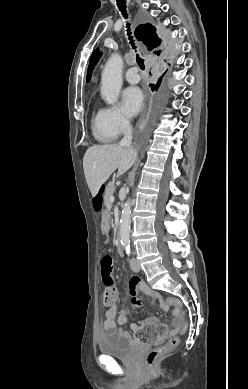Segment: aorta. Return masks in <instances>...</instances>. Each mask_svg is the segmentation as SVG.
<instances>
[{"label":"aorta","instance_id":"aorta-1","mask_svg":"<svg viewBox=\"0 0 248 389\" xmlns=\"http://www.w3.org/2000/svg\"><path fill=\"white\" fill-rule=\"evenodd\" d=\"M123 59L119 54H113L105 64L101 79V95L108 105H115L122 87ZM131 200L125 203L120 219L121 244L130 246Z\"/></svg>","mask_w":248,"mask_h":389}]
</instances>
